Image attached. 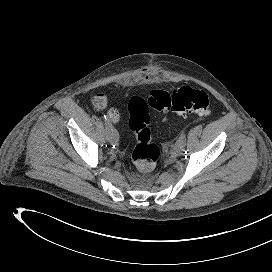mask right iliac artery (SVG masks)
I'll use <instances>...</instances> for the list:
<instances>
[{"label":"right iliac artery","instance_id":"right-iliac-artery-1","mask_svg":"<svg viewBox=\"0 0 272 272\" xmlns=\"http://www.w3.org/2000/svg\"><path fill=\"white\" fill-rule=\"evenodd\" d=\"M103 119H104V121L106 122V126H107V128L108 129H110L111 127L108 125V123H109V117L107 116V115H103Z\"/></svg>","mask_w":272,"mask_h":272}]
</instances>
